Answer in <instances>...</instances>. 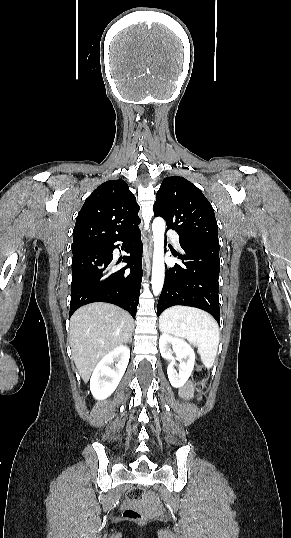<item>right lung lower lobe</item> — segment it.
<instances>
[{
	"label": "right lung lower lobe",
	"instance_id": "1",
	"mask_svg": "<svg viewBox=\"0 0 291 538\" xmlns=\"http://www.w3.org/2000/svg\"><path fill=\"white\" fill-rule=\"evenodd\" d=\"M141 232H132L98 247L73 254L70 316L81 306L92 302H108L127 310L133 318L137 312L142 280ZM121 241L129 256L118 260L128 263L113 268L114 243Z\"/></svg>",
	"mask_w": 291,
	"mask_h": 538
}]
</instances>
